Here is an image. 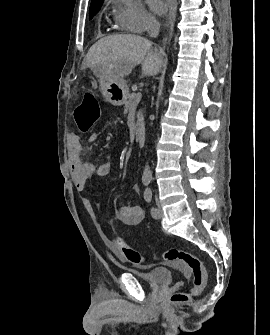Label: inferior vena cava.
Returning <instances> with one entry per match:
<instances>
[{"instance_id": "602c4592", "label": "inferior vena cava", "mask_w": 270, "mask_h": 335, "mask_svg": "<svg viewBox=\"0 0 270 335\" xmlns=\"http://www.w3.org/2000/svg\"><path fill=\"white\" fill-rule=\"evenodd\" d=\"M159 24H152V26H150V28H148V34L150 36V38H157L158 34H159Z\"/></svg>"}]
</instances>
